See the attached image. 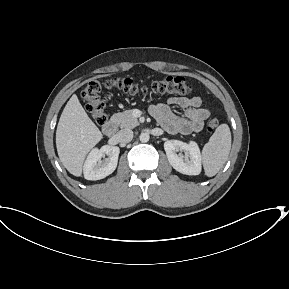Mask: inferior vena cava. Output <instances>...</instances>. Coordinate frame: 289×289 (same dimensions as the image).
Instances as JSON below:
<instances>
[{"instance_id":"inferior-vena-cava-1","label":"inferior vena cava","mask_w":289,"mask_h":289,"mask_svg":"<svg viewBox=\"0 0 289 289\" xmlns=\"http://www.w3.org/2000/svg\"><path fill=\"white\" fill-rule=\"evenodd\" d=\"M119 142L128 143L133 139V131L130 129H122L117 133Z\"/></svg>"}]
</instances>
